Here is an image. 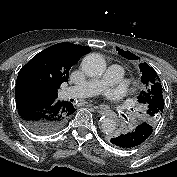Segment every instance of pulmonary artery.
I'll return each mask as SVG.
<instances>
[{
    "mask_svg": "<svg viewBox=\"0 0 177 177\" xmlns=\"http://www.w3.org/2000/svg\"><path fill=\"white\" fill-rule=\"evenodd\" d=\"M125 71L122 66L112 64L106 73L100 78L90 79L81 84L68 87L63 91L65 98H87L92 97L106 87L118 83L124 77Z\"/></svg>",
    "mask_w": 177,
    "mask_h": 177,
    "instance_id": "obj_1",
    "label": "pulmonary artery"
}]
</instances>
